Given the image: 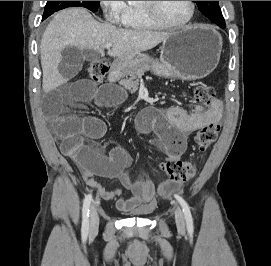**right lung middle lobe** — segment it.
Here are the masks:
<instances>
[{"label":"right lung middle lobe","mask_w":271,"mask_h":266,"mask_svg":"<svg viewBox=\"0 0 271 266\" xmlns=\"http://www.w3.org/2000/svg\"><path fill=\"white\" fill-rule=\"evenodd\" d=\"M99 5L100 1H47L42 20L46 19L54 12L67 7H85L92 12H96Z\"/></svg>","instance_id":"1"}]
</instances>
